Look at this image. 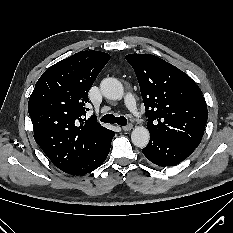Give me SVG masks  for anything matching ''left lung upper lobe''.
Listing matches in <instances>:
<instances>
[{
    "mask_svg": "<svg viewBox=\"0 0 233 233\" xmlns=\"http://www.w3.org/2000/svg\"><path fill=\"white\" fill-rule=\"evenodd\" d=\"M141 89L150 134L198 147L207 106L198 85L183 71L150 54H129Z\"/></svg>",
    "mask_w": 233,
    "mask_h": 233,
    "instance_id": "left-lung-upper-lobe-1",
    "label": "left lung upper lobe"
}]
</instances>
